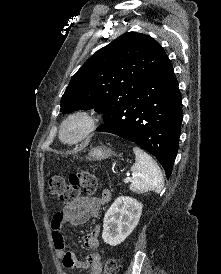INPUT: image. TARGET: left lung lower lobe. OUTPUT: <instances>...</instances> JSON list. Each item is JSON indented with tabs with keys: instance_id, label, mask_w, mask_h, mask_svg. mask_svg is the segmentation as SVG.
<instances>
[{
	"instance_id": "1",
	"label": "left lung lower lobe",
	"mask_w": 221,
	"mask_h": 274,
	"mask_svg": "<svg viewBox=\"0 0 221 274\" xmlns=\"http://www.w3.org/2000/svg\"><path fill=\"white\" fill-rule=\"evenodd\" d=\"M182 97L167 57L145 80L140 92L104 116L97 131L132 141L153 154L171 176L182 123Z\"/></svg>"
}]
</instances>
